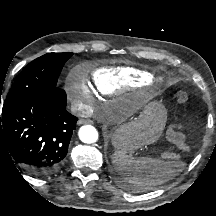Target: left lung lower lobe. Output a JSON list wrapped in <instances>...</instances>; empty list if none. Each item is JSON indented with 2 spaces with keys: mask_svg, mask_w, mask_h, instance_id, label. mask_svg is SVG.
I'll use <instances>...</instances> for the list:
<instances>
[{
  "mask_svg": "<svg viewBox=\"0 0 216 216\" xmlns=\"http://www.w3.org/2000/svg\"><path fill=\"white\" fill-rule=\"evenodd\" d=\"M119 182H120L122 185L126 186V187H130V184H128L127 182H125V180L123 179V177H122L121 179H119Z\"/></svg>",
  "mask_w": 216,
  "mask_h": 216,
  "instance_id": "obj_1",
  "label": "left lung lower lobe"
}]
</instances>
